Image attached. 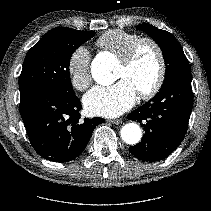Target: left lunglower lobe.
I'll return each instance as SVG.
<instances>
[{"mask_svg": "<svg viewBox=\"0 0 211 211\" xmlns=\"http://www.w3.org/2000/svg\"><path fill=\"white\" fill-rule=\"evenodd\" d=\"M192 106L191 72L169 78L151 100L127 116L145 130L142 141L129 151L150 162L168 157L185 137Z\"/></svg>", "mask_w": 211, "mask_h": 211, "instance_id": "0a47b994", "label": "left lung lower lobe"}]
</instances>
